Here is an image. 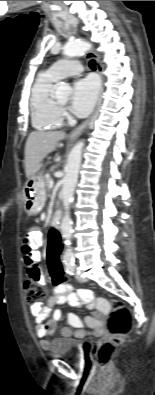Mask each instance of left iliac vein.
I'll return each instance as SVG.
<instances>
[{
    "label": "left iliac vein",
    "instance_id": "obj_1",
    "mask_svg": "<svg viewBox=\"0 0 155 395\" xmlns=\"http://www.w3.org/2000/svg\"><path fill=\"white\" fill-rule=\"evenodd\" d=\"M75 277H76V279H77L79 282H85V279H83L78 273L75 274Z\"/></svg>",
    "mask_w": 155,
    "mask_h": 395
}]
</instances>
